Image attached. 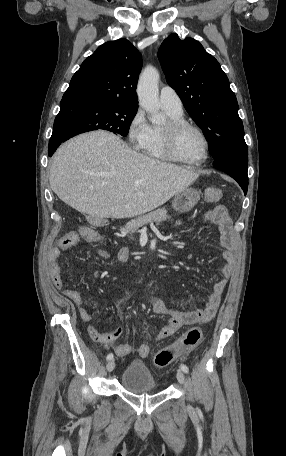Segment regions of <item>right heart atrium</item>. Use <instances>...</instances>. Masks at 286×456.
Segmentation results:
<instances>
[{"label": "right heart atrium", "mask_w": 286, "mask_h": 456, "mask_svg": "<svg viewBox=\"0 0 286 456\" xmlns=\"http://www.w3.org/2000/svg\"><path fill=\"white\" fill-rule=\"evenodd\" d=\"M150 132V125L147 123L145 113L138 108L131 117L127 127V138L134 148H142Z\"/></svg>", "instance_id": "obj_1"}]
</instances>
